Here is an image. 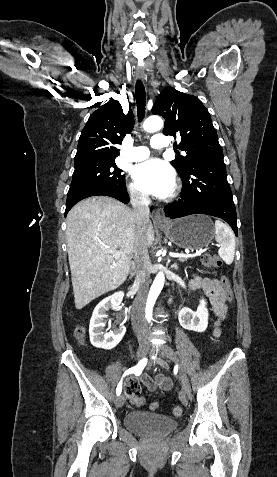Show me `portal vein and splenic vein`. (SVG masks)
Masks as SVG:
<instances>
[{
  "label": "portal vein and splenic vein",
  "mask_w": 277,
  "mask_h": 477,
  "mask_svg": "<svg viewBox=\"0 0 277 477\" xmlns=\"http://www.w3.org/2000/svg\"><path fill=\"white\" fill-rule=\"evenodd\" d=\"M205 251H206V249H203V250L198 251L196 254H184V253H179V252H170L169 255L171 257H178V258H180V257L193 258V257L200 256ZM121 255H122V251H120V250H115L113 252V257L116 258V259L120 258Z\"/></svg>",
  "instance_id": "obj_1"
}]
</instances>
